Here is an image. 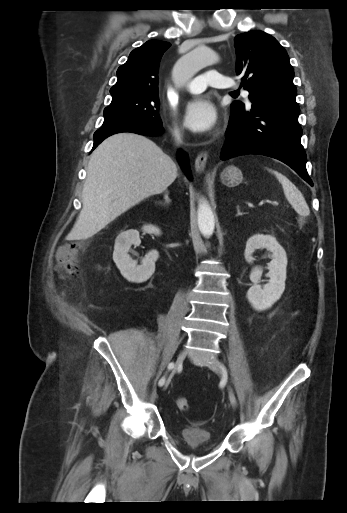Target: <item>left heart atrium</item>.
<instances>
[{
    "mask_svg": "<svg viewBox=\"0 0 347 513\" xmlns=\"http://www.w3.org/2000/svg\"><path fill=\"white\" fill-rule=\"evenodd\" d=\"M185 125L194 132H208L217 122V111L213 102L205 96L189 101L184 111Z\"/></svg>",
    "mask_w": 347,
    "mask_h": 513,
    "instance_id": "1",
    "label": "left heart atrium"
}]
</instances>
